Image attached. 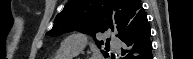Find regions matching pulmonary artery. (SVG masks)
Returning <instances> with one entry per match:
<instances>
[{
	"label": "pulmonary artery",
	"mask_w": 193,
	"mask_h": 59,
	"mask_svg": "<svg viewBox=\"0 0 193 59\" xmlns=\"http://www.w3.org/2000/svg\"><path fill=\"white\" fill-rule=\"evenodd\" d=\"M85 37L81 34L69 35L64 40L61 48L64 50L72 51L74 53H79L84 47ZM111 44L116 46H123L124 43L117 40L111 39Z\"/></svg>",
	"instance_id": "1"
}]
</instances>
